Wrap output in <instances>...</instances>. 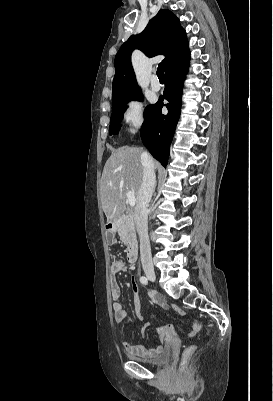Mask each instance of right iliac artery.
<instances>
[{"label":"right iliac artery","mask_w":273,"mask_h":401,"mask_svg":"<svg viewBox=\"0 0 273 401\" xmlns=\"http://www.w3.org/2000/svg\"><path fill=\"white\" fill-rule=\"evenodd\" d=\"M140 282H141L143 285H146V284L148 283V279H147L145 276H142V277L140 278Z\"/></svg>","instance_id":"82829eb1"}]
</instances>
